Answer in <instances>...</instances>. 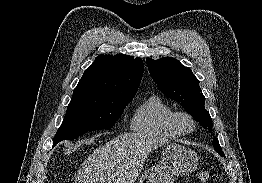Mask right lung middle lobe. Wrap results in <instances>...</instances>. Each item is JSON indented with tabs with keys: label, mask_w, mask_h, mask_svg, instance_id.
I'll use <instances>...</instances> for the list:
<instances>
[{
	"label": "right lung middle lobe",
	"mask_w": 262,
	"mask_h": 183,
	"mask_svg": "<svg viewBox=\"0 0 262 183\" xmlns=\"http://www.w3.org/2000/svg\"><path fill=\"white\" fill-rule=\"evenodd\" d=\"M131 98L107 99L94 96H72L66 116L53 145L75 139L87 131L110 129L122 115Z\"/></svg>",
	"instance_id": "right-lung-middle-lobe-1"
}]
</instances>
